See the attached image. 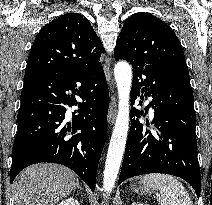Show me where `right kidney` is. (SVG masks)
Returning a JSON list of instances; mask_svg holds the SVG:
<instances>
[{"mask_svg": "<svg viewBox=\"0 0 212 205\" xmlns=\"http://www.w3.org/2000/svg\"><path fill=\"white\" fill-rule=\"evenodd\" d=\"M59 205H80L78 200L75 198H68L66 200H63Z\"/></svg>", "mask_w": 212, "mask_h": 205, "instance_id": "ca27d5eb", "label": "right kidney"}]
</instances>
